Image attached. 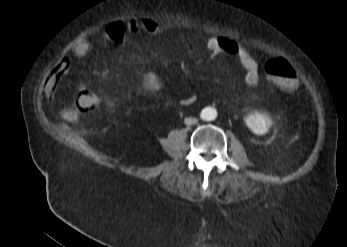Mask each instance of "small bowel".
<instances>
[{
  "label": "small bowel",
  "instance_id": "1",
  "mask_svg": "<svg viewBox=\"0 0 347 247\" xmlns=\"http://www.w3.org/2000/svg\"><path fill=\"white\" fill-rule=\"evenodd\" d=\"M164 30L165 28L151 20H128L124 24L121 22L109 23L103 28L101 37L105 40L122 44L127 34H139L141 32L157 34ZM93 46V40H80L73 44L71 52L76 57H84L91 51ZM205 47L211 57L218 58L226 55L234 57L245 70L243 76L245 85L249 88L257 86L259 82L258 62L243 45L228 36L210 35L205 40ZM69 68L70 62L68 58H64L56 64L45 82V93L47 96L53 97L55 95L59 81L68 72ZM142 82L144 87L151 91H160L166 87V82L153 72L146 73L142 78ZM83 90L90 91L84 84L79 86L78 92ZM195 101L196 96L190 94L183 97L180 100V104L190 106Z\"/></svg>",
  "mask_w": 347,
  "mask_h": 247
}]
</instances>
